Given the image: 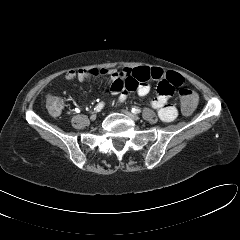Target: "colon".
Segmentation results:
<instances>
[{"label": "colon", "instance_id": "obj_1", "mask_svg": "<svg viewBox=\"0 0 240 240\" xmlns=\"http://www.w3.org/2000/svg\"><path fill=\"white\" fill-rule=\"evenodd\" d=\"M181 108L184 114H190L197 106V94L187 87L179 89ZM64 105L62 97L54 94H49L45 99V106L48 113L52 116H57L61 113Z\"/></svg>", "mask_w": 240, "mask_h": 240}]
</instances>
